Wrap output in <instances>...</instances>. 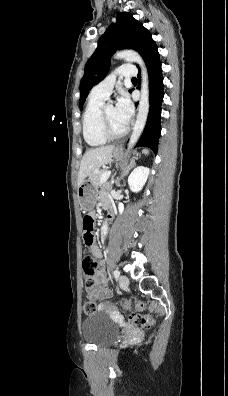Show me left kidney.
Masks as SVG:
<instances>
[{"label": "left kidney", "mask_w": 228, "mask_h": 396, "mask_svg": "<svg viewBox=\"0 0 228 396\" xmlns=\"http://www.w3.org/2000/svg\"><path fill=\"white\" fill-rule=\"evenodd\" d=\"M149 168L144 166L136 167L128 177V184L132 192H139L145 185L148 175Z\"/></svg>", "instance_id": "obj_1"}]
</instances>
